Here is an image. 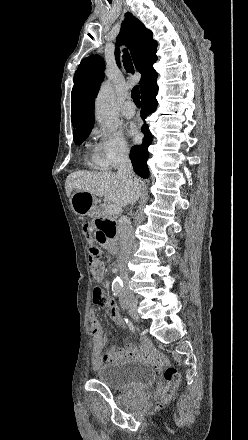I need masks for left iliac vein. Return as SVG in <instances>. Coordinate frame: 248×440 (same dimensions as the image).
Masks as SVG:
<instances>
[{"instance_id": "obj_1", "label": "left iliac vein", "mask_w": 248, "mask_h": 440, "mask_svg": "<svg viewBox=\"0 0 248 440\" xmlns=\"http://www.w3.org/2000/svg\"><path fill=\"white\" fill-rule=\"evenodd\" d=\"M121 301H122V305H123V307H124V308H127V307L125 306V304H124V299H122Z\"/></svg>"}]
</instances>
